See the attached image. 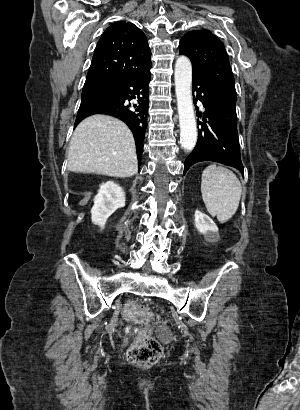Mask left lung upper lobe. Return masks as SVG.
Instances as JSON below:
<instances>
[{
  "mask_svg": "<svg viewBox=\"0 0 300 410\" xmlns=\"http://www.w3.org/2000/svg\"><path fill=\"white\" fill-rule=\"evenodd\" d=\"M180 54L192 62L193 74L207 79L236 98L234 76L223 43L209 30L186 33L179 43Z\"/></svg>",
  "mask_w": 300,
  "mask_h": 410,
  "instance_id": "5c2ea615",
  "label": "left lung upper lobe"
}]
</instances>
